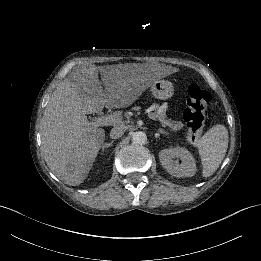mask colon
Here are the masks:
<instances>
[{"label": "colon", "mask_w": 261, "mask_h": 261, "mask_svg": "<svg viewBox=\"0 0 261 261\" xmlns=\"http://www.w3.org/2000/svg\"><path fill=\"white\" fill-rule=\"evenodd\" d=\"M212 95L196 84H190L187 88V102L184 111V120L187 126L188 137L198 138L210 121V106Z\"/></svg>", "instance_id": "1"}]
</instances>
